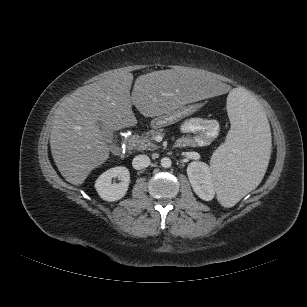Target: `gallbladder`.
<instances>
[{
	"instance_id": "bac80fb5",
	"label": "gallbladder",
	"mask_w": 307,
	"mask_h": 307,
	"mask_svg": "<svg viewBox=\"0 0 307 307\" xmlns=\"http://www.w3.org/2000/svg\"><path fill=\"white\" fill-rule=\"evenodd\" d=\"M97 126L101 130L105 141L111 143L113 140V132L109 130L102 121H97Z\"/></svg>"
}]
</instances>
